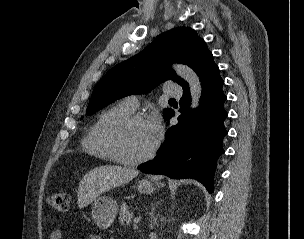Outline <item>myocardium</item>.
<instances>
[{
  "mask_svg": "<svg viewBox=\"0 0 304 239\" xmlns=\"http://www.w3.org/2000/svg\"><path fill=\"white\" fill-rule=\"evenodd\" d=\"M134 122H147V119L144 115L140 113H128L122 115L111 122L105 130V141L113 154L114 161L124 164V165H138L144 163L152 158L154 155L156 148L158 146V140H154L152 146L149 150L139 157L128 158L122 155L120 148H119V135L122 130L127 127L128 125Z\"/></svg>",
  "mask_w": 304,
  "mask_h": 239,
  "instance_id": "obj_1",
  "label": "myocardium"
}]
</instances>
